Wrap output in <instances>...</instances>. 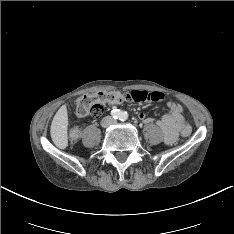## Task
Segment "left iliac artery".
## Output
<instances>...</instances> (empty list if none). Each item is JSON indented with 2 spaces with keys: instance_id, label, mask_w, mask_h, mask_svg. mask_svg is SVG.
<instances>
[{
  "instance_id": "44dca946",
  "label": "left iliac artery",
  "mask_w": 234,
  "mask_h": 234,
  "mask_svg": "<svg viewBox=\"0 0 234 234\" xmlns=\"http://www.w3.org/2000/svg\"><path fill=\"white\" fill-rule=\"evenodd\" d=\"M127 119V114L126 112L122 113L120 116V120L125 121Z\"/></svg>"
}]
</instances>
